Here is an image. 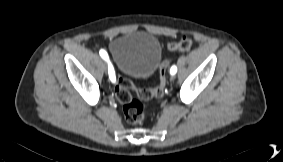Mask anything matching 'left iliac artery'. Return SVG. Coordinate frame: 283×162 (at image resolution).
<instances>
[{
    "label": "left iliac artery",
    "instance_id": "44dca946",
    "mask_svg": "<svg viewBox=\"0 0 283 162\" xmlns=\"http://www.w3.org/2000/svg\"><path fill=\"white\" fill-rule=\"evenodd\" d=\"M176 72H177V67L174 65V66L171 67L170 73H171L172 75H174Z\"/></svg>",
    "mask_w": 283,
    "mask_h": 162
}]
</instances>
